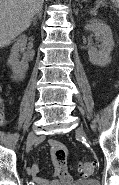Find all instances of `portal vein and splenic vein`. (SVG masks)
Wrapping results in <instances>:
<instances>
[{"label": "portal vein and splenic vein", "instance_id": "18ae733b", "mask_svg": "<svg viewBox=\"0 0 119 185\" xmlns=\"http://www.w3.org/2000/svg\"><path fill=\"white\" fill-rule=\"evenodd\" d=\"M90 12H91V13H95V12H96V9H93V10H91Z\"/></svg>", "mask_w": 119, "mask_h": 185}]
</instances>
